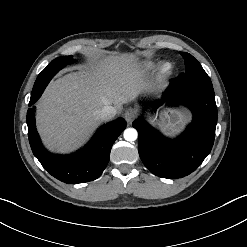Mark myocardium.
<instances>
[{
	"label": "myocardium",
	"mask_w": 247,
	"mask_h": 247,
	"mask_svg": "<svg viewBox=\"0 0 247 247\" xmlns=\"http://www.w3.org/2000/svg\"><path fill=\"white\" fill-rule=\"evenodd\" d=\"M158 72L161 77H169L174 72V65L171 62H163Z\"/></svg>",
	"instance_id": "1"
}]
</instances>
